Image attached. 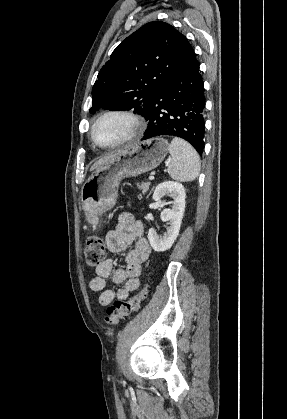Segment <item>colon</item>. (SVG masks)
<instances>
[{
  "label": "colon",
  "mask_w": 287,
  "mask_h": 419,
  "mask_svg": "<svg viewBox=\"0 0 287 419\" xmlns=\"http://www.w3.org/2000/svg\"><path fill=\"white\" fill-rule=\"evenodd\" d=\"M86 263L91 268H97L106 259V246L99 236H89L84 243ZM147 289H142L137 295L129 300H116L111 304L105 314V322L116 326L121 320L126 319L130 314L137 311L143 300L146 298Z\"/></svg>",
  "instance_id": "obj_1"
}]
</instances>
